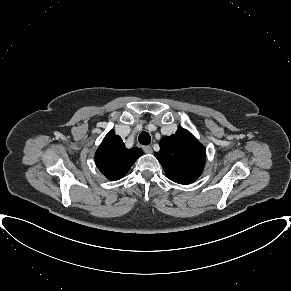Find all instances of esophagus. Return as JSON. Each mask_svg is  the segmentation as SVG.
Segmentation results:
<instances>
[{
    "instance_id": "34e87169",
    "label": "esophagus",
    "mask_w": 291,
    "mask_h": 291,
    "mask_svg": "<svg viewBox=\"0 0 291 291\" xmlns=\"http://www.w3.org/2000/svg\"><path fill=\"white\" fill-rule=\"evenodd\" d=\"M143 150H144L145 153H152L153 152L151 146H144L143 147Z\"/></svg>"
}]
</instances>
